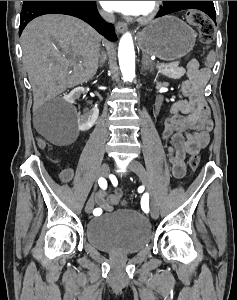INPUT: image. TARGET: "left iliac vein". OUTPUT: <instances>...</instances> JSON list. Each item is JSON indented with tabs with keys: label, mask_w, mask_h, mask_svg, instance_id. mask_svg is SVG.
<instances>
[{
	"label": "left iliac vein",
	"mask_w": 237,
	"mask_h": 300,
	"mask_svg": "<svg viewBox=\"0 0 237 300\" xmlns=\"http://www.w3.org/2000/svg\"><path fill=\"white\" fill-rule=\"evenodd\" d=\"M129 168L142 180V183L144 184V186H145V188H146V190L149 193L150 198H151L152 217L154 219H157L159 217V209H158L157 202L154 198L151 185L149 183L148 173H147L146 169L137 160H132L130 165H129Z\"/></svg>",
	"instance_id": "4c4485c4"
}]
</instances>
